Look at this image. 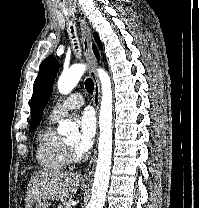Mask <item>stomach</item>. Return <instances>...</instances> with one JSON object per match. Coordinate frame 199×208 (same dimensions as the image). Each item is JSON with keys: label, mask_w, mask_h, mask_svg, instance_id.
I'll list each match as a JSON object with an SVG mask.
<instances>
[{"label": "stomach", "mask_w": 199, "mask_h": 208, "mask_svg": "<svg viewBox=\"0 0 199 208\" xmlns=\"http://www.w3.org/2000/svg\"><path fill=\"white\" fill-rule=\"evenodd\" d=\"M50 203L47 200H40L36 203L35 208H49Z\"/></svg>", "instance_id": "stomach-1"}]
</instances>
